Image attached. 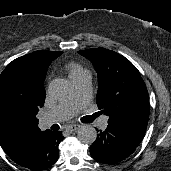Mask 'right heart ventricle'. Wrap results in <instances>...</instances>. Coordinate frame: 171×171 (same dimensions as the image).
<instances>
[{"label": "right heart ventricle", "instance_id": "right-heart-ventricle-1", "mask_svg": "<svg viewBox=\"0 0 171 171\" xmlns=\"http://www.w3.org/2000/svg\"><path fill=\"white\" fill-rule=\"evenodd\" d=\"M66 70L71 79L88 72L84 67H82L80 64L75 63V62L68 63L66 65Z\"/></svg>", "mask_w": 171, "mask_h": 171}]
</instances>
